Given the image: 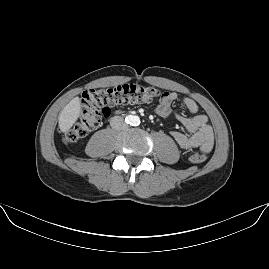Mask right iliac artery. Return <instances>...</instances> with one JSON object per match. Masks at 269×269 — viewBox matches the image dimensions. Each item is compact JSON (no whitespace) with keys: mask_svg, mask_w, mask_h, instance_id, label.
<instances>
[{"mask_svg":"<svg viewBox=\"0 0 269 269\" xmlns=\"http://www.w3.org/2000/svg\"><path fill=\"white\" fill-rule=\"evenodd\" d=\"M133 121V118L131 116L126 117V122L130 123Z\"/></svg>","mask_w":269,"mask_h":269,"instance_id":"82829eb1","label":"right iliac artery"}]
</instances>
